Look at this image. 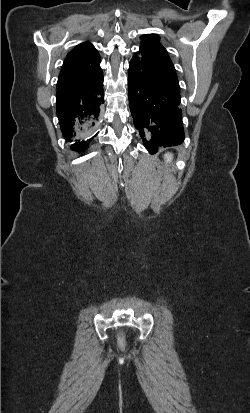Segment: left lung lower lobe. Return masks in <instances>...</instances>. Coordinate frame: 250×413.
Masks as SVG:
<instances>
[{"label": "left lung lower lobe", "instance_id": "0a47b994", "mask_svg": "<svg viewBox=\"0 0 250 413\" xmlns=\"http://www.w3.org/2000/svg\"><path fill=\"white\" fill-rule=\"evenodd\" d=\"M129 105L145 148L176 146L184 140L180 87L159 37L146 36L129 65Z\"/></svg>", "mask_w": 250, "mask_h": 413}]
</instances>
